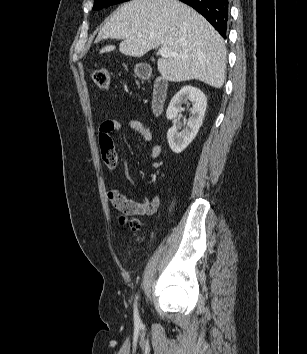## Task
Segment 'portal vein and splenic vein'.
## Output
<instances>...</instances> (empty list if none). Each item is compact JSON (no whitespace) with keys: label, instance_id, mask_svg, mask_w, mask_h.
I'll return each instance as SVG.
<instances>
[{"label":"portal vein and splenic vein","instance_id":"portal-vein-and-splenic-vein-1","mask_svg":"<svg viewBox=\"0 0 307 354\" xmlns=\"http://www.w3.org/2000/svg\"><path fill=\"white\" fill-rule=\"evenodd\" d=\"M159 54L162 56V57H169V56H173V57H176L178 56V54L172 52L169 47L167 46H163L159 49Z\"/></svg>","mask_w":307,"mask_h":354}]
</instances>
